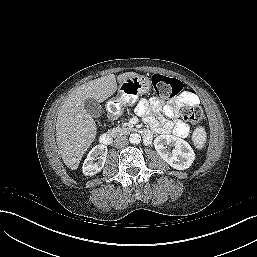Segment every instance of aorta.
Instances as JSON below:
<instances>
[{
	"mask_svg": "<svg viewBox=\"0 0 257 257\" xmlns=\"http://www.w3.org/2000/svg\"><path fill=\"white\" fill-rule=\"evenodd\" d=\"M129 141L132 144H139L141 141V136L138 133H133L130 135Z\"/></svg>",
	"mask_w": 257,
	"mask_h": 257,
	"instance_id": "1",
	"label": "aorta"
}]
</instances>
